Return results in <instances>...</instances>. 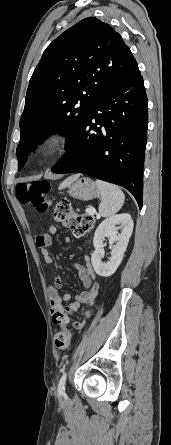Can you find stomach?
<instances>
[{"label": "stomach", "mask_w": 171, "mask_h": 445, "mask_svg": "<svg viewBox=\"0 0 171 445\" xmlns=\"http://www.w3.org/2000/svg\"><path fill=\"white\" fill-rule=\"evenodd\" d=\"M71 197L83 201H89L99 196L100 191L90 178H80L69 187Z\"/></svg>", "instance_id": "obj_1"}]
</instances>
